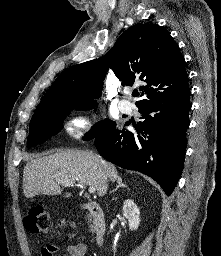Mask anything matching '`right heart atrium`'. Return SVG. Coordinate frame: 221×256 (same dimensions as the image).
I'll return each instance as SVG.
<instances>
[{
    "label": "right heart atrium",
    "instance_id": "right-heart-atrium-1",
    "mask_svg": "<svg viewBox=\"0 0 221 256\" xmlns=\"http://www.w3.org/2000/svg\"><path fill=\"white\" fill-rule=\"evenodd\" d=\"M96 121L97 116L93 111H80L65 121L63 131L68 137L79 138L91 131L94 128Z\"/></svg>",
    "mask_w": 221,
    "mask_h": 256
}]
</instances>
